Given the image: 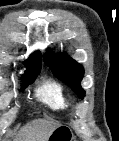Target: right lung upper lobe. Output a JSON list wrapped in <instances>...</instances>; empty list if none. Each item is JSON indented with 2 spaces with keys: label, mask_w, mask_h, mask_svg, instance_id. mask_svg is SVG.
Wrapping results in <instances>:
<instances>
[{
  "label": "right lung upper lobe",
  "mask_w": 119,
  "mask_h": 141,
  "mask_svg": "<svg viewBox=\"0 0 119 141\" xmlns=\"http://www.w3.org/2000/svg\"><path fill=\"white\" fill-rule=\"evenodd\" d=\"M41 63H42V59H41L40 52L33 53L29 57V59L24 63L25 66L27 67V70L25 71V74H29V73H32V72L40 71Z\"/></svg>",
  "instance_id": "right-lung-upper-lobe-1"
}]
</instances>
